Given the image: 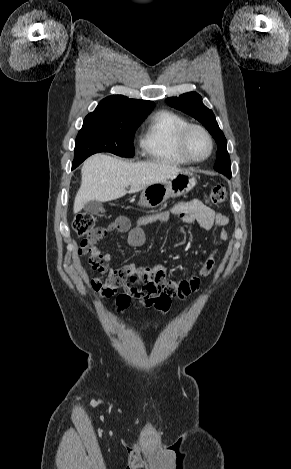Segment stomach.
<instances>
[{"label": "stomach", "instance_id": "stomach-1", "mask_svg": "<svg viewBox=\"0 0 291 469\" xmlns=\"http://www.w3.org/2000/svg\"><path fill=\"white\" fill-rule=\"evenodd\" d=\"M192 172L182 171L161 182L151 184L142 190L138 204L145 208H156L169 198L187 194L196 185Z\"/></svg>", "mask_w": 291, "mask_h": 469}]
</instances>
